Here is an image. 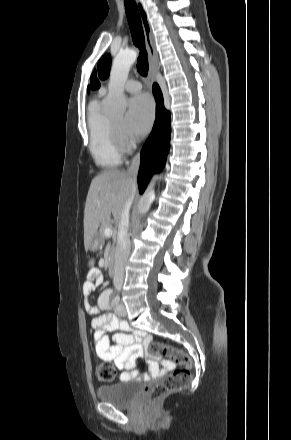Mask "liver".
Here are the masks:
<instances>
[{
  "instance_id": "obj_1",
  "label": "liver",
  "mask_w": 291,
  "mask_h": 440,
  "mask_svg": "<svg viewBox=\"0 0 291 440\" xmlns=\"http://www.w3.org/2000/svg\"><path fill=\"white\" fill-rule=\"evenodd\" d=\"M132 177L124 171L107 170L93 178L84 210V246L88 250L102 221L113 215L120 221L132 193Z\"/></svg>"
}]
</instances>
